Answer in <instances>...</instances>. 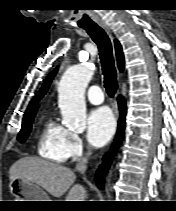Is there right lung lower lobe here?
Wrapping results in <instances>:
<instances>
[{
  "label": "right lung lower lobe",
  "instance_id": "obj_1",
  "mask_svg": "<svg viewBox=\"0 0 176 211\" xmlns=\"http://www.w3.org/2000/svg\"><path fill=\"white\" fill-rule=\"evenodd\" d=\"M118 105H119V110H120V120H119V125H118L117 136L110 153L104 157V160L106 162L100 166L96 174V183L100 189L104 188L105 174L108 168L110 167V162L112 160V157L114 153L116 152L124 134L125 114H126V103H125L124 98L118 97Z\"/></svg>",
  "mask_w": 176,
  "mask_h": 211
}]
</instances>
